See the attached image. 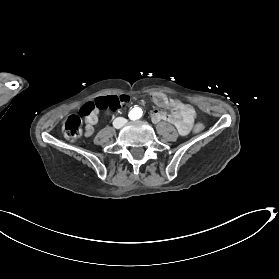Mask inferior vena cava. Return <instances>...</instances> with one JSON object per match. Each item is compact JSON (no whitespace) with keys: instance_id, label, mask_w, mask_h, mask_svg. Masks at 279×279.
Wrapping results in <instances>:
<instances>
[{"instance_id":"1","label":"inferior vena cava","mask_w":279,"mask_h":279,"mask_svg":"<svg viewBox=\"0 0 279 279\" xmlns=\"http://www.w3.org/2000/svg\"><path fill=\"white\" fill-rule=\"evenodd\" d=\"M125 123H127V120L122 118V117H119V118H116L113 122V125L115 128L119 129L121 128Z\"/></svg>"}]
</instances>
